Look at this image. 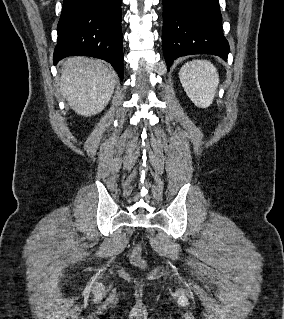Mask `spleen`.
Returning <instances> with one entry per match:
<instances>
[{"mask_svg":"<svg viewBox=\"0 0 284 319\" xmlns=\"http://www.w3.org/2000/svg\"><path fill=\"white\" fill-rule=\"evenodd\" d=\"M180 82L191 101L199 108L212 103L219 83L214 65L205 60H193L179 71Z\"/></svg>","mask_w":284,"mask_h":319,"instance_id":"obj_1","label":"spleen"}]
</instances>
